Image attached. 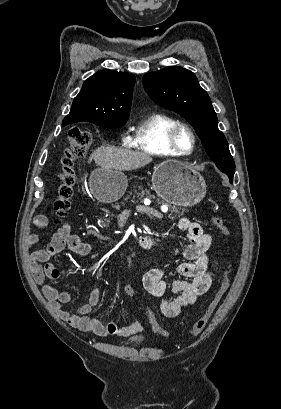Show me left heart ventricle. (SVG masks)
Here are the masks:
<instances>
[{
    "mask_svg": "<svg viewBox=\"0 0 281 409\" xmlns=\"http://www.w3.org/2000/svg\"><path fill=\"white\" fill-rule=\"evenodd\" d=\"M184 144H185L186 148H188L189 141H188L187 137L184 138Z\"/></svg>",
    "mask_w": 281,
    "mask_h": 409,
    "instance_id": "1",
    "label": "left heart ventricle"
}]
</instances>
